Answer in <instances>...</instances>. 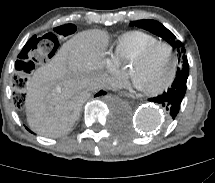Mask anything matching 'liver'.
Returning <instances> with one entry per match:
<instances>
[{
	"instance_id": "liver-1",
	"label": "liver",
	"mask_w": 215,
	"mask_h": 183,
	"mask_svg": "<svg viewBox=\"0 0 215 183\" xmlns=\"http://www.w3.org/2000/svg\"><path fill=\"white\" fill-rule=\"evenodd\" d=\"M108 36L101 30L79 32L26 83V116L31 130L45 137L70 132L84 102L88 84L100 77Z\"/></svg>"
}]
</instances>
